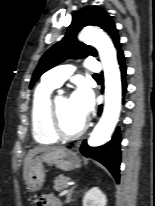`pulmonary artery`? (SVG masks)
<instances>
[{"mask_svg":"<svg viewBox=\"0 0 155 206\" xmlns=\"http://www.w3.org/2000/svg\"><path fill=\"white\" fill-rule=\"evenodd\" d=\"M85 66L92 72H98L100 70V64L95 58H89ZM74 70L75 67L71 64L59 65L46 72L43 76V80L58 87L69 78Z\"/></svg>","mask_w":155,"mask_h":206,"instance_id":"obj_1","label":"pulmonary artery"}]
</instances>
